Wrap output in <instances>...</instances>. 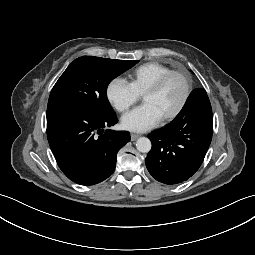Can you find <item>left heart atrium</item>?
<instances>
[{
	"mask_svg": "<svg viewBox=\"0 0 255 255\" xmlns=\"http://www.w3.org/2000/svg\"><path fill=\"white\" fill-rule=\"evenodd\" d=\"M162 119L161 113L151 103H145L122 117V126L126 130L143 132L156 126Z\"/></svg>",
	"mask_w": 255,
	"mask_h": 255,
	"instance_id": "obj_1",
	"label": "left heart atrium"
}]
</instances>
